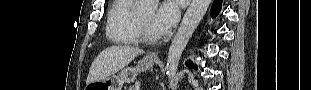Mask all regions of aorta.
<instances>
[{"label": "aorta", "mask_w": 311, "mask_h": 90, "mask_svg": "<svg viewBox=\"0 0 311 90\" xmlns=\"http://www.w3.org/2000/svg\"><path fill=\"white\" fill-rule=\"evenodd\" d=\"M211 0H192L168 50L167 74L170 85L173 84L182 53L191 36L205 15ZM157 0H139L137 10L141 13H153Z\"/></svg>", "instance_id": "762f6f07"}]
</instances>
